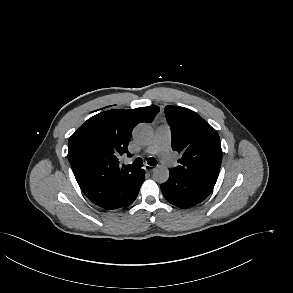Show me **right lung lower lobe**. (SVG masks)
I'll use <instances>...</instances> for the list:
<instances>
[{
  "mask_svg": "<svg viewBox=\"0 0 293 293\" xmlns=\"http://www.w3.org/2000/svg\"><path fill=\"white\" fill-rule=\"evenodd\" d=\"M140 170H141V176H142V182H141V184H142L144 179H145V172L142 169H140ZM140 187H141V185H140ZM139 189H138L137 193L132 197V199L128 202V204L126 206H124V207H127V206H129V205H131L133 203V201L136 199V197L138 195Z\"/></svg>",
  "mask_w": 293,
  "mask_h": 293,
  "instance_id": "obj_1",
  "label": "right lung lower lobe"
}]
</instances>
